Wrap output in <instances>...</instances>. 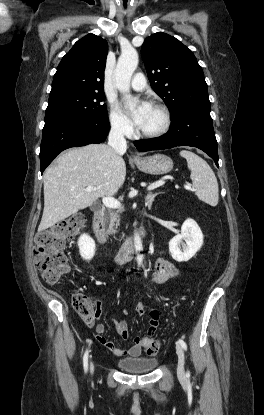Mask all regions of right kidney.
I'll return each mask as SVG.
<instances>
[{"instance_id":"ca27d5eb","label":"right kidney","mask_w":264,"mask_h":415,"mask_svg":"<svg viewBox=\"0 0 264 415\" xmlns=\"http://www.w3.org/2000/svg\"><path fill=\"white\" fill-rule=\"evenodd\" d=\"M80 255L83 259L89 261L95 255V241L88 235L82 234L78 240Z\"/></svg>"}]
</instances>
